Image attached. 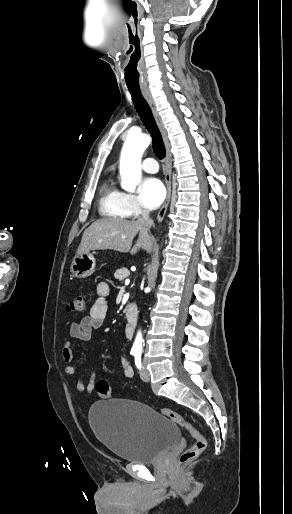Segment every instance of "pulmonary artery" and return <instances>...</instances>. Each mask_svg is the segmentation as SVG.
Returning <instances> with one entry per match:
<instances>
[{
	"label": "pulmonary artery",
	"instance_id": "e3ab8cb5",
	"mask_svg": "<svg viewBox=\"0 0 292 514\" xmlns=\"http://www.w3.org/2000/svg\"><path fill=\"white\" fill-rule=\"evenodd\" d=\"M143 169L148 172H156L158 170V163L155 157H146L144 159Z\"/></svg>",
	"mask_w": 292,
	"mask_h": 514
}]
</instances>
